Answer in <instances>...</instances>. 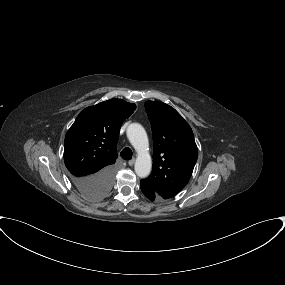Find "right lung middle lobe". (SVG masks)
Here are the masks:
<instances>
[{
	"mask_svg": "<svg viewBox=\"0 0 285 285\" xmlns=\"http://www.w3.org/2000/svg\"><path fill=\"white\" fill-rule=\"evenodd\" d=\"M105 196H106V193H103V194H96V195H93V196L88 197V198L91 199V200H99V199H102Z\"/></svg>",
	"mask_w": 285,
	"mask_h": 285,
	"instance_id": "obj_1",
	"label": "right lung middle lobe"
}]
</instances>
